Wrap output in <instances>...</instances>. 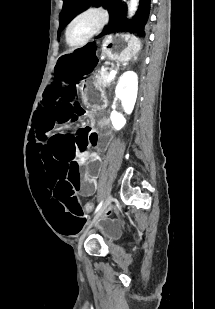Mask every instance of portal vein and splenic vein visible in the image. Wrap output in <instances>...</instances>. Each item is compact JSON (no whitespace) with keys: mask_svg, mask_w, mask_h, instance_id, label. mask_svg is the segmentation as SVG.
I'll use <instances>...</instances> for the list:
<instances>
[{"mask_svg":"<svg viewBox=\"0 0 215 309\" xmlns=\"http://www.w3.org/2000/svg\"><path fill=\"white\" fill-rule=\"evenodd\" d=\"M117 74V70H110V74L107 76V80H112V78H115Z\"/></svg>","mask_w":215,"mask_h":309,"instance_id":"obj_1","label":"portal vein and splenic vein"}]
</instances>
